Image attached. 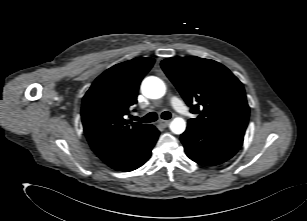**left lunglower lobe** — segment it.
Returning a JSON list of instances; mask_svg holds the SVG:
<instances>
[{
	"instance_id": "obj_1",
	"label": "left lung lower lobe",
	"mask_w": 307,
	"mask_h": 221,
	"mask_svg": "<svg viewBox=\"0 0 307 221\" xmlns=\"http://www.w3.org/2000/svg\"><path fill=\"white\" fill-rule=\"evenodd\" d=\"M180 140L190 159L199 164L214 166L229 160L237 153L243 143V136L188 124Z\"/></svg>"
}]
</instances>
